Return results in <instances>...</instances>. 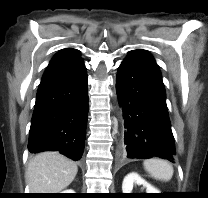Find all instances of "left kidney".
Segmentation results:
<instances>
[{"instance_id": "left-kidney-1", "label": "left kidney", "mask_w": 208, "mask_h": 198, "mask_svg": "<svg viewBox=\"0 0 208 198\" xmlns=\"http://www.w3.org/2000/svg\"><path fill=\"white\" fill-rule=\"evenodd\" d=\"M134 184L142 185L144 188H146V193H160L158 189H156L143 178H141L140 175H138L137 173H129L124 177L122 183L123 193H131Z\"/></svg>"}]
</instances>
